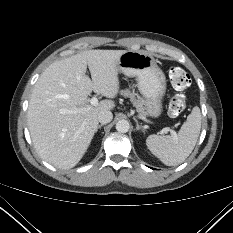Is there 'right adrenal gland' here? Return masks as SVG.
Segmentation results:
<instances>
[{
	"instance_id": "obj_1",
	"label": "right adrenal gland",
	"mask_w": 233,
	"mask_h": 233,
	"mask_svg": "<svg viewBox=\"0 0 233 233\" xmlns=\"http://www.w3.org/2000/svg\"><path fill=\"white\" fill-rule=\"evenodd\" d=\"M102 126H104V124L99 125L96 132L98 131V129H101Z\"/></svg>"
}]
</instances>
